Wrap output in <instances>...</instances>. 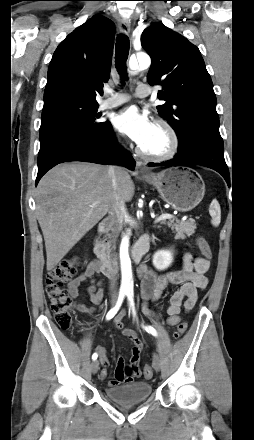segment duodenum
<instances>
[{"mask_svg": "<svg viewBox=\"0 0 254 440\" xmlns=\"http://www.w3.org/2000/svg\"><path fill=\"white\" fill-rule=\"evenodd\" d=\"M114 224L113 218L103 220L98 225V233L94 238L93 246L94 252L99 259V267L102 273L107 277H113L115 275V267L109 259L108 249L103 242L101 236L106 233ZM150 247L149 236H143L132 249V259L135 263H138L146 254Z\"/></svg>", "mask_w": 254, "mask_h": 440, "instance_id": "1", "label": "duodenum"}]
</instances>
